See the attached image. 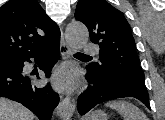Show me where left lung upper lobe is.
<instances>
[{
    "instance_id": "obj_1",
    "label": "left lung upper lobe",
    "mask_w": 165,
    "mask_h": 120,
    "mask_svg": "<svg viewBox=\"0 0 165 120\" xmlns=\"http://www.w3.org/2000/svg\"><path fill=\"white\" fill-rule=\"evenodd\" d=\"M75 18L100 47V62L87 67L99 86L146 89L131 28L124 14L105 0H79Z\"/></svg>"
}]
</instances>
